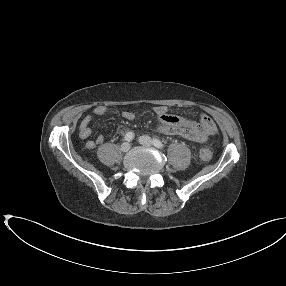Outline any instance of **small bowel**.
Returning a JSON list of instances; mask_svg holds the SVG:
<instances>
[{
    "label": "small bowel",
    "instance_id": "c3829d8e",
    "mask_svg": "<svg viewBox=\"0 0 286 286\" xmlns=\"http://www.w3.org/2000/svg\"><path fill=\"white\" fill-rule=\"evenodd\" d=\"M107 108L104 105H98L94 108L95 116H102L106 113ZM157 116L156 128L165 135L178 136L195 143H204L210 136L216 132L214 121L206 114H201L197 121H191L181 116L171 114L168 108L158 105L153 108ZM122 117L125 120L132 121L135 115L131 111H123ZM92 116L85 115L79 124V136L87 139L91 135ZM104 142V136L99 135L94 140H88L85 144L88 150Z\"/></svg>",
    "mask_w": 286,
    "mask_h": 286
}]
</instances>
